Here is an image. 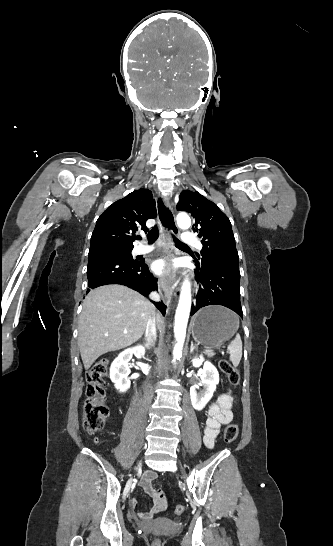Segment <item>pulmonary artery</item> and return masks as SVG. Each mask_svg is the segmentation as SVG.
<instances>
[{"instance_id": "1", "label": "pulmonary artery", "mask_w": 333, "mask_h": 546, "mask_svg": "<svg viewBox=\"0 0 333 546\" xmlns=\"http://www.w3.org/2000/svg\"><path fill=\"white\" fill-rule=\"evenodd\" d=\"M182 241H183V243L195 245L199 249L202 248V245H201L199 239L196 237L195 234H193L191 232H184L182 234ZM153 249H154L153 246L138 244L134 248V253L135 254H146V253L151 252Z\"/></svg>"}]
</instances>
